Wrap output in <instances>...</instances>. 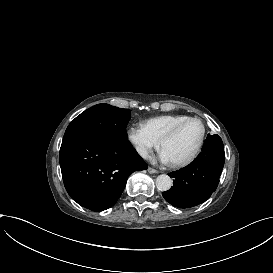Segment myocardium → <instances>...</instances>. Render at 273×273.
<instances>
[{
    "instance_id": "f54148a6",
    "label": "myocardium",
    "mask_w": 273,
    "mask_h": 273,
    "mask_svg": "<svg viewBox=\"0 0 273 273\" xmlns=\"http://www.w3.org/2000/svg\"><path fill=\"white\" fill-rule=\"evenodd\" d=\"M191 121H199L202 124L203 127V131H202V135L201 138L195 148V150L192 152V154L182 160V161H178V162H170V166L174 167V168H181V167H185L190 165L192 162L195 161V159L198 157V155L200 154L202 147L204 145L206 136H207V123L200 117L197 116H191L189 118H187L186 120H183L179 123H177L175 126H173L160 140L159 144H160V148L163 149V146L165 145L166 142L170 141L171 139H173L176 134L179 132V130L184 127L186 124H188Z\"/></svg>"
}]
</instances>
